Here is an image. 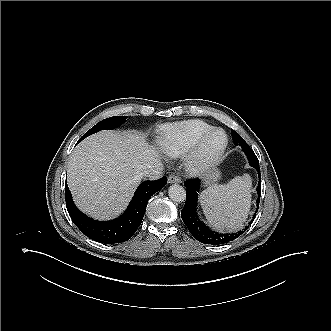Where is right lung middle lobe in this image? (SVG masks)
<instances>
[{
	"label": "right lung middle lobe",
	"instance_id": "obj_1",
	"mask_svg": "<svg viewBox=\"0 0 331 331\" xmlns=\"http://www.w3.org/2000/svg\"><path fill=\"white\" fill-rule=\"evenodd\" d=\"M127 116H114L107 119H104L87 131L80 139V141L87 136L96 133L100 130L114 129L126 121Z\"/></svg>",
	"mask_w": 331,
	"mask_h": 331
}]
</instances>
